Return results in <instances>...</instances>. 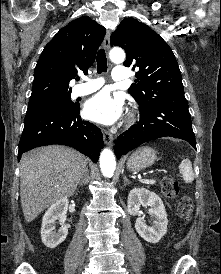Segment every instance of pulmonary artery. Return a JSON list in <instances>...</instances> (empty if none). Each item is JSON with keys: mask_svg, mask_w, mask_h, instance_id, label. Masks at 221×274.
<instances>
[{"mask_svg": "<svg viewBox=\"0 0 221 274\" xmlns=\"http://www.w3.org/2000/svg\"><path fill=\"white\" fill-rule=\"evenodd\" d=\"M129 77L128 71L125 67L117 66L113 69L112 79L114 81H125ZM104 84L103 79H86V82L78 85L74 91V96H84L97 91Z\"/></svg>", "mask_w": 221, "mask_h": 274, "instance_id": "obj_1", "label": "pulmonary artery"}]
</instances>
